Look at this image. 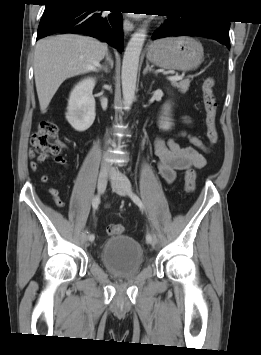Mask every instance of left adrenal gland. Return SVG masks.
Returning a JSON list of instances; mask_svg holds the SVG:
<instances>
[{"instance_id": "left-adrenal-gland-1", "label": "left adrenal gland", "mask_w": 261, "mask_h": 355, "mask_svg": "<svg viewBox=\"0 0 261 355\" xmlns=\"http://www.w3.org/2000/svg\"><path fill=\"white\" fill-rule=\"evenodd\" d=\"M147 72H154V69H152V67H150L148 61H146V67L143 70V75H145Z\"/></svg>"}]
</instances>
